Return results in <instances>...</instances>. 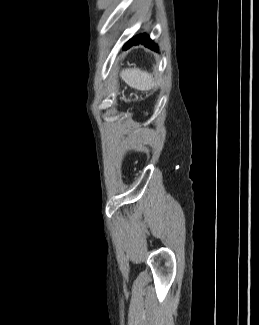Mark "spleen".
Instances as JSON below:
<instances>
[{
  "label": "spleen",
  "mask_w": 259,
  "mask_h": 325,
  "mask_svg": "<svg viewBox=\"0 0 259 325\" xmlns=\"http://www.w3.org/2000/svg\"><path fill=\"white\" fill-rule=\"evenodd\" d=\"M120 76L127 85L136 90L148 91L155 86L151 74L138 68H127Z\"/></svg>",
  "instance_id": "3e777b00"
}]
</instances>
